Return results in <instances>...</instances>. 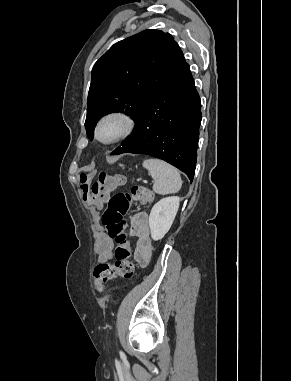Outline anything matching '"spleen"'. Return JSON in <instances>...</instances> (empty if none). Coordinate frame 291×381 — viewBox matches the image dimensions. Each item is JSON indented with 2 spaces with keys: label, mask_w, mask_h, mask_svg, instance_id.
Here are the masks:
<instances>
[{
  "label": "spleen",
  "mask_w": 291,
  "mask_h": 381,
  "mask_svg": "<svg viewBox=\"0 0 291 381\" xmlns=\"http://www.w3.org/2000/svg\"><path fill=\"white\" fill-rule=\"evenodd\" d=\"M154 179L153 191L165 195L177 193L182 186V180L178 170L172 165L160 159L149 158L143 162Z\"/></svg>",
  "instance_id": "3e777b00"
}]
</instances>
